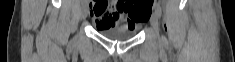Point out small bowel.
Masks as SVG:
<instances>
[{"label":"small bowel","mask_w":235,"mask_h":62,"mask_svg":"<svg viewBox=\"0 0 235 62\" xmlns=\"http://www.w3.org/2000/svg\"><path fill=\"white\" fill-rule=\"evenodd\" d=\"M124 11L120 8L117 1H112L110 7L105 5L104 9H98L96 6L91 10L90 16L97 28H135L137 24L124 17Z\"/></svg>","instance_id":"small-bowel-1"}]
</instances>
